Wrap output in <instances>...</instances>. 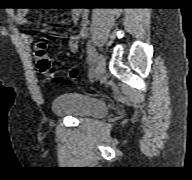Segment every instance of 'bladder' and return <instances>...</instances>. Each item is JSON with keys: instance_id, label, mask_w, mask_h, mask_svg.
<instances>
[{"instance_id": "bladder-1", "label": "bladder", "mask_w": 192, "mask_h": 180, "mask_svg": "<svg viewBox=\"0 0 192 180\" xmlns=\"http://www.w3.org/2000/svg\"><path fill=\"white\" fill-rule=\"evenodd\" d=\"M108 110L107 104L100 99L90 98L78 93H66L55 97L52 101V111L59 117L70 116L83 119L91 116H101Z\"/></svg>"}]
</instances>
